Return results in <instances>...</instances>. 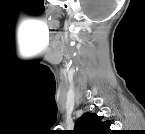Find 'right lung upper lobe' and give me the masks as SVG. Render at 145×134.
<instances>
[{
  "mask_svg": "<svg viewBox=\"0 0 145 134\" xmlns=\"http://www.w3.org/2000/svg\"><path fill=\"white\" fill-rule=\"evenodd\" d=\"M102 119V116L95 113H85L76 121L74 132L76 134H112L111 121Z\"/></svg>",
  "mask_w": 145,
  "mask_h": 134,
  "instance_id": "cb5924a9",
  "label": "right lung upper lobe"
}]
</instances>
